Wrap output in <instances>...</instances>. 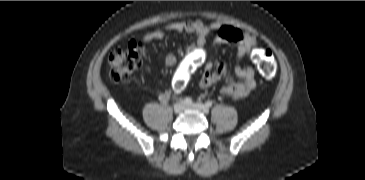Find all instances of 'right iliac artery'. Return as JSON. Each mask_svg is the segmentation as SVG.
I'll return each mask as SVG.
<instances>
[{"label": "right iliac artery", "mask_w": 365, "mask_h": 180, "mask_svg": "<svg viewBox=\"0 0 365 180\" xmlns=\"http://www.w3.org/2000/svg\"><path fill=\"white\" fill-rule=\"evenodd\" d=\"M182 102L186 105H191L192 104V99L189 97H186L182 100Z\"/></svg>", "instance_id": "obj_1"}]
</instances>
